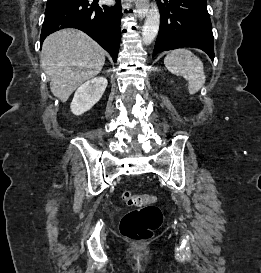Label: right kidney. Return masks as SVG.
<instances>
[{
    "instance_id": "1",
    "label": "right kidney",
    "mask_w": 261,
    "mask_h": 273,
    "mask_svg": "<svg viewBox=\"0 0 261 273\" xmlns=\"http://www.w3.org/2000/svg\"><path fill=\"white\" fill-rule=\"evenodd\" d=\"M107 84L105 77H96L83 83L71 102L72 113L78 116L89 111L101 99Z\"/></svg>"
}]
</instances>
